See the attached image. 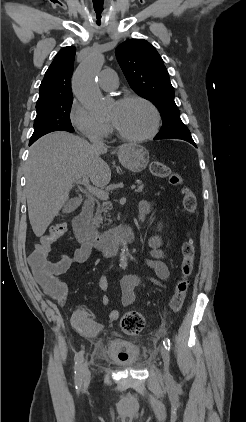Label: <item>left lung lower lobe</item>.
I'll return each instance as SVG.
<instances>
[{"label": "left lung lower lobe", "instance_id": "1", "mask_svg": "<svg viewBox=\"0 0 246 422\" xmlns=\"http://www.w3.org/2000/svg\"><path fill=\"white\" fill-rule=\"evenodd\" d=\"M154 140H158V138L157 137H155L154 138ZM182 140H185V141H187V142H189V143H191V144H193L195 147H196V144L194 143V141H193V139L192 138H188V139H182Z\"/></svg>", "mask_w": 246, "mask_h": 422}]
</instances>
